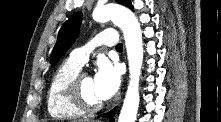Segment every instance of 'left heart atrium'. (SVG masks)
<instances>
[{
  "label": "left heart atrium",
  "mask_w": 221,
  "mask_h": 122,
  "mask_svg": "<svg viewBox=\"0 0 221 122\" xmlns=\"http://www.w3.org/2000/svg\"><path fill=\"white\" fill-rule=\"evenodd\" d=\"M93 80L98 97L102 101L108 100L120 87L119 68L107 59H101L98 62V68Z\"/></svg>",
  "instance_id": "39dd6f15"
}]
</instances>
